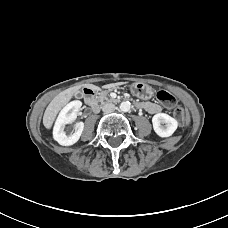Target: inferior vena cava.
Listing matches in <instances>:
<instances>
[{"label": "inferior vena cava", "instance_id": "1", "mask_svg": "<svg viewBox=\"0 0 228 228\" xmlns=\"http://www.w3.org/2000/svg\"><path fill=\"white\" fill-rule=\"evenodd\" d=\"M115 109V105L112 103H106L102 106L103 112H111Z\"/></svg>", "mask_w": 228, "mask_h": 228}]
</instances>
